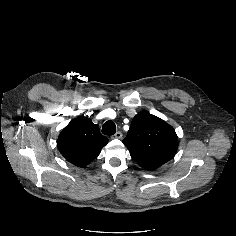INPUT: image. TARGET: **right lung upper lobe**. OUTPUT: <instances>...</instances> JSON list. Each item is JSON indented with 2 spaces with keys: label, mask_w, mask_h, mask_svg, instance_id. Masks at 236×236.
<instances>
[{
  "label": "right lung upper lobe",
  "mask_w": 236,
  "mask_h": 236,
  "mask_svg": "<svg viewBox=\"0 0 236 236\" xmlns=\"http://www.w3.org/2000/svg\"><path fill=\"white\" fill-rule=\"evenodd\" d=\"M108 139L99 127L86 117H77L61 131L58 137L60 153L72 164L84 167L92 162Z\"/></svg>",
  "instance_id": "right-lung-upper-lobe-1"
}]
</instances>
